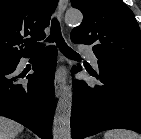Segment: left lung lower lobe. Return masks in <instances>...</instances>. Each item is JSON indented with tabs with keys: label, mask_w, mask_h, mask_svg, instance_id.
<instances>
[{
	"label": "left lung lower lobe",
	"mask_w": 141,
	"mask_h": 139,
	"mask_svg": "<svg viewBox=\"0 0 141 139\" xmlns=\"http://www.w3.org/2000/svg\"><path fill=\"white\" fill-rule=\"evenodd\" d=\"M98 66L102 84L73 81L72 139L120 128L141 134V66L103 60Z\"/></svg>",
	"instance_id": "obj_1"
}]
</instances>
